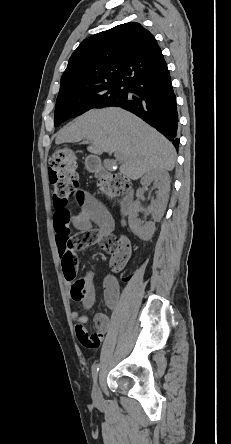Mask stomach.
Wrapping results in <instances>:
<instances>
[{
    "label": "stomach",
    "mask_w": 231,
    "mask_h": 444,
    "mask_svg": "<svg viewBox=\"0 0 231 444\" xmlns=\"http://www.w3.org/2000/svg\"><path fill=\"white\" fill-rule=\"evenodd\" d=\"M86 167L90 171L95 172L100 168V161L96 157L90 156L86 159Z\"/></svg>",
    "instance_id": "obj_1"
}]
</instances>
